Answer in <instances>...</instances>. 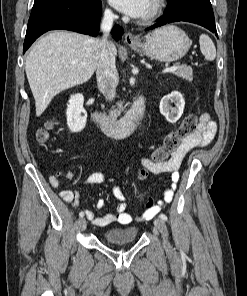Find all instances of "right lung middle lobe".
Listing matches in <instances>:
<instances>
[{"label": "right lung middle lobe", "mask_w": 247, "mask_h": 296, "mask_svg": "<svg viewBox=\"0 0 247 296\" xmlns=\"http://www.w3.org/2000/svg\"><path fill=\"white\" fill-rule=\"evenodd\" d=\"M38 1H41V0H35V2H38ZM83 1H85L86 3L92 4V5L99 2V0H83Z\"/></svg>", "instance_id": "obj_1"}]
</instances>
